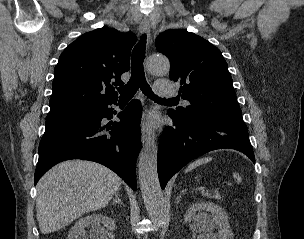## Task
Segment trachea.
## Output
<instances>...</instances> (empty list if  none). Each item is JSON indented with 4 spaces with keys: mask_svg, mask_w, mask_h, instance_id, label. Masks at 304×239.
Here are the masks:
<instances>
[{
    "mask_svg": "<svg viewBox=\"0 0 304 239\" xmlns=\"http://www.w3.org/2000/svg\"><path fill=\"white\" fill-rule=\"evenodd\" d=\"M146 50V35H142L139 43L134 47L131 58V78L129 82L118 88L120 100L131 99L137 90L140 88L145 96L155 101H173L177 102L176 98L165 99L156 96L149 84L146 81L143 62L145 59Z\"/></svg>",
    "mask_w": 304,
    "mask_h": 239,
    "instance_id": "trachea-1",
    "label": "trachea"
}]
</instances>
